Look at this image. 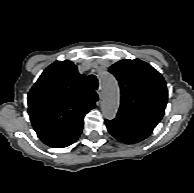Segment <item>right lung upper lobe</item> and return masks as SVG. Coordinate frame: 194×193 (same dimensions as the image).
<instances>
[{"label": "right lung upper lobe", "mask_w": 194, "mask_h": 193, "mask_svg": "<svg viewBox=\"0 0 194 193\" xmlns=\"http://www.w3.org/2000/svg\"><path fill=\"white\" fill-rule=\"evenodd\" d=\"M69 60L55 61L28 93V114L40 139L65 132L96 107V92Z\"/></svg>", "instance_id": "cb5924a9"}]
</instances>
